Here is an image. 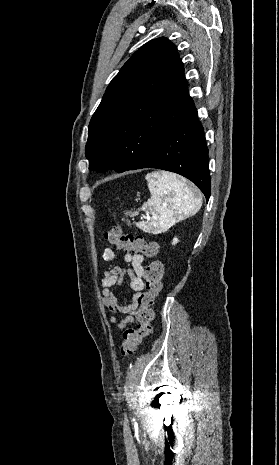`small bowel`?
I'll list each match as a JSON object with an SVG mask.
<instances>
[{
	"label": "small bowel",
	"mask_w": 279,
	"mask_h": 465,
	"mask_svg": "<svg viewBox=\"0 0 279 465\" xmlns=\"http://www.w3.org/2000/svg\"><path fill=\"white\" fill-rule=\"evenodd\" d=\"M105 261L112 262L117 259L114 249L107 247L103 251ZM123 260L131 265V269L127 270L122 265H115L112 269L104 272V277L101 281L102 300L103 303L113 312L109 317V322L122 330L136 322L137 313V297L144 289L143 280V262L144 257L139 253L125 252ZM129 278V286L134 292L130 301L121 300L114 292V287L120 285L125 276ZM119 314H127L121 318Z\"/></svg>",
	"instance_id": "1"
}]
</instances>
